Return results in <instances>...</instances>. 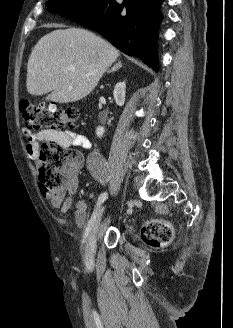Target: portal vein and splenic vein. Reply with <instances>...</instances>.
<instances>
[{
    "label": "portal vein and splenic vein",
    "mask_w": 233,
    "mask_h": 328,
    "mask_svg": "<svg viewBox=\"0 0 233 328\" xmlns=\"http://www.w3.org/2000/svg\"><path fill=\"white\" fill-rule=\"evenodd\" d=\"M70 70H71V71H75V67H71Z\"/></svg>",
    "instance_id": "obj_1"
}]
</instances>
